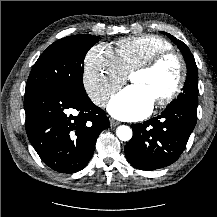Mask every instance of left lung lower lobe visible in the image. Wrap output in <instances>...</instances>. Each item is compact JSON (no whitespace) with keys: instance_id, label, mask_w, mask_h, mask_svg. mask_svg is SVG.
Listing matches in <instances>:
<instances>
[{"instance_id":"obj_1","label":"left lung lower lobe","mask_w":217,"mask_h":217,"mask_svg":"<svg viewBox=\"0 0 217 217\" xmlns=\"http://www.w3.org/2000/svg\"><path fill=\"white\" fill-rule=\"evenodd\" d=\"M197 120V105H170L159 116L132 125L125 146L127 160L137 169L151 171L171 165L185 149Z\"/></svg>"}]
</instances>
